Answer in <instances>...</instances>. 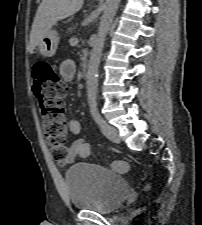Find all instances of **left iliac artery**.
Returning a JSON list of instances; mask_svg holds the SVG:
<instances>
[{
    "label": "left iliac artery",
    "instance_id": "left-iliac-artery-1",
    "mask_svg": "<svg viewBox=\"0 0 202 225\" xmlns=\"http://www.w3.org/2000/svg\"><path fill=\"white\" fill-rule=\"evenodd\" d=\"M89 106H90V112H91V115H92L94 121L100 126L105 125L106 122L103 120V118L99 114L98 107H97V101L96 100L90 101Z\"/></svg>",
    "mask_w": 202,
    "mask_h": 225
}]
</instances>
